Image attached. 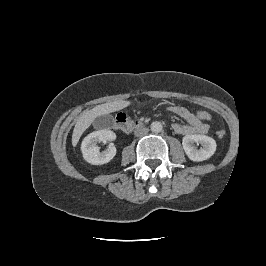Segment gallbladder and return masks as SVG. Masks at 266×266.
Returning a JSON list of instances; mask_svg holds the SVG:
<instances>
[{
  "mask_svg": "<svg viewBox=\"0 0 266 266\" xmlns=\"http://www.w3.org/2000/svg\"><path fill=\"white\" fill-rule=\"evenodd\" d=\"M93 124L97 128L111 127L114 124V118L111 115H102L97 117Z\"/></svg>",
  "mask_w": 266,
  "mask_h": 266,
  "instance_id": "obj_1",
  "label": "gallbladder"
}]
</instances>
